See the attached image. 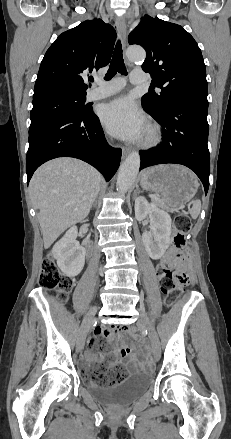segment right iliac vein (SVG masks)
<instances>
[{"label":"right iliac vein","mask_w":231,"mask_h":439,"mask_svg":"<svg viewBox=\"0 0 231 439\" xmlns=\"http://www.w3.org/2000/svg\"><path fill=\"white\" fill-rule=\"evenodd\" d=\"M93 321H94V312L92 311L90 313V315L84 320V322L82 323V325L80 327V331H79L78 338H77V351L78 352H81L83 347H84L86 336L90 330V327H91Z\"/></svg>","instance_id":"obj_1"}]
</instances>
